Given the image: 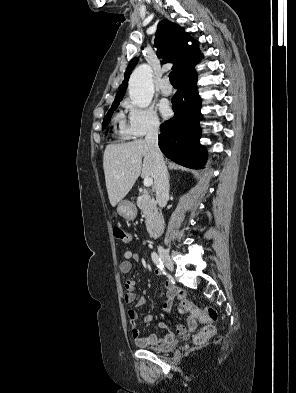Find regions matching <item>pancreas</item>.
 Here are the masks:
<instances>
[{
	"label": "pancreas",
	"mask_w": 296,
	"mask_h": 393,
	"mask_svg": "<svg viewBox=\"0 0 296 393\" xmlns=\"http://www.w3.org/2000/svg\"><path fill=\"white\" fill-rule=\"evenodd\" d=\"M137 206L142 210L147 230L150 232L158 218L156 202L147 191H143L137 198Z\"/></svg>",
	"instance_id": "1"
}]
</instances>
